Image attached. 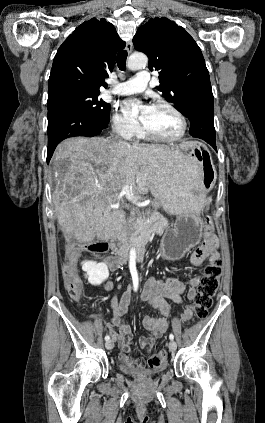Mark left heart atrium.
<instances>
[{
	"label": "left heart atrium",
	"mask_w": 265,
	"mask_h": 423,
	"mask_svg": "<svg viewBox=\"0 0 265 423\" xmlns=\"http://www.w3.org/2000/svg\"><path fill=\"white\" fill-rule=\"evenodd\" d=\"M136 104L135 100H128L124 103V108L127 113H131L133 106ZM150 107H147L144 112H147Z\"/></svg>",
	"instance_id": "39dd6f15"
}]
</instances>
